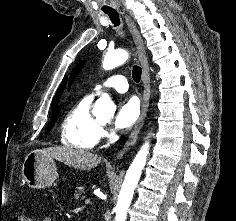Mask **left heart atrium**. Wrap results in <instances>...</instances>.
Here are the masks:
<instances>
[{
	"label": "left heart atrium",
	"instance_id": "39dd6f15",
	"mask_svg": "<svg viewBox=\"0 0 236 221\" xmlns=\"http://www.w3.org/2000/svg\"><path fill=\"white\" fill-rule=\"evenodd\" d=\"M140 108L139 102L134 97L123 99L117 108L113 126L116 130H127L137 120Z\"/></svg>",
	"mask_w": 236,
	"mask_h": 221
}]
</instances>
